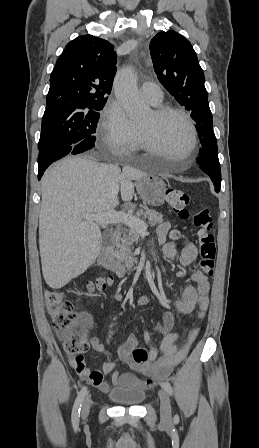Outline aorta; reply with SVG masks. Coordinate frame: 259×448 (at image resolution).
<instances>
[{"instance_id": "762f6f07", "label": "aorta", "mask_w": 259, "mask_h": 448, "mask_svg": "<svg viewBox=\"0 0 259 448\" xmlns=\"http://www.w3.org/2000/svg\"><path fill=\"white\" fill-rule=\"evenodd\" d=\"M114 93L130 119H139L144 114L146 106L141 99L137 77L131 67H125L117 72L114 79Z\"/></svg>"}]
</instances>
